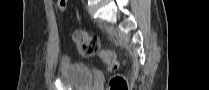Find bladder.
<instances>
[{
    "label": "bladder",
    "mask_w": 209,
    "mask_h": 90,
    "mask_svg": "<svg viewBox=\"0 0 209 90\" xmlns=\"http://www.w3.org/2000/svg\"><path fill=\"white\" fill-rule=\"evenodd\" d=\"M59 75L72 86L86 90L92 86L91 69L84 63L72 62L68 57L60 59Z\"/></svg>",
    "instance_id": "1"
}]
</instances>
